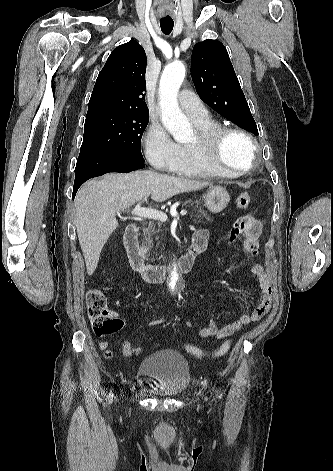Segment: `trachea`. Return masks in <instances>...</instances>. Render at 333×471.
<instances>
[{"label": "trachea", "instance_id": "trachea-1", "mask_svg": "<svg viewBox=\"0 0 333 471\" xmlns=\"http://www.w3.org/2000/svg\"><path fill=\"white\" fill-rule=\"evenodd\" d=\"M161 30L164 34L168 35L173 30L174 21L172 19H162L160 21Z\"/></svg>", "mask_w": 333, "mask_h": 471}]
</instances>
